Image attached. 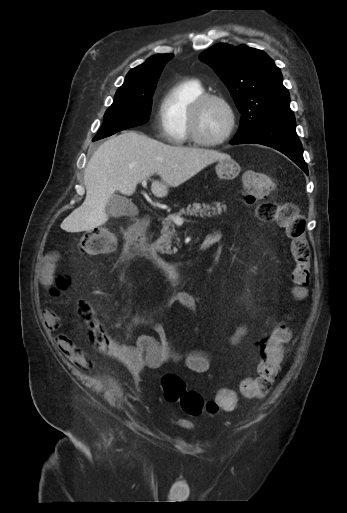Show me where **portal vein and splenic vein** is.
<instances>
[{
  "label": "portal vein and splenic vein",
  "mask_w": 347,
  "mask_h": 513,
  "mask_svg": "<svg viewBox=\"0 0 347 513\" xmlns=\"http://www.w3.org/2000/svg\"><path fill=\"white\" fill-rule=\"evenodd\" d=\"M147 183H146V180H143L142 181V186L143 187H146ZM171 219L172 221L176 224V225H182L183 222L185 221L184 218H182L181 216H178V215H175V216H171Z\"/></svg>",
  "instance_id": "portal-vein-and-splenic-vein-1"
}]
</instances>
